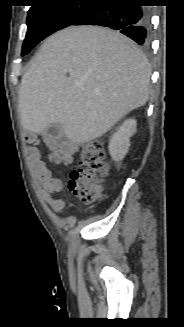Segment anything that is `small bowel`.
<instances>
[{
  "label": "small bowel",
  "mask_w": 184,
  "mask_h": 327,
  "mask_svg": "<svg viewBox=\"0 0 184 327\" xmlns=\"http://www.w3.org/2000/svg\"><path fill=\"white\" fill-rule=\"evenodd\" d=\"M44 143L49 147L51 154L50 158L56 163L71 164L76 152V145L68 143H59L58 140L51 135L40 136ZM29 142H35L38 137L36 135H26ZM28 160L31 164L34 174L40 179L43 185V194L46 202L55 212H61L65 207V201L55 197V194L62 190V181L55 177L51 170L46 166V163L41 157L40 151L36 146L28 148Z\"/></svg>",
  "instance_id": "obj_1"
}]
</instances>
